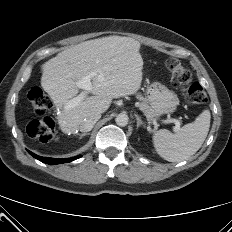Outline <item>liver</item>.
<instances>
[{
    "label": "liver",
    "instance_id": "6515ba94",
    "mask_svg": "<svg viewBox=\"0 0 232 232\" xmlns=\"http://www.w3.org/2000/svg\"><path fill=\"white\" fill-rule=\"evenodd\" d=\"M139 49L140 42L133 38L109 36L81 42L42 65L41 86L61 110L57 119L63 133L78 132L85 118L106 112L113 98L139 90L143 68ZM92 73L93 95L67 109L66 103L79 93L75 80Z\"/></svg>",
    "mask_w": 232,
    "mask_h": 232
}]
</instances>
